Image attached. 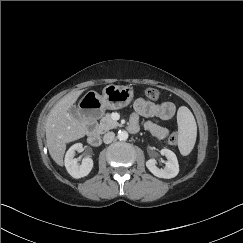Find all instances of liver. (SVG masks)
<instances>
[{
    "label": "liver",
    "instance_id": "6515ba94",
    "mask_svg": "<svg viewBox=\"0 0 243 243\" xmlns=\"http://www.w3.org/2000/svg\"><path fill=\"white\" fill-rule=\"evenodd\" d=\"M84 90L71 91L61 98L50 110L46 125V144L52 159L63 165L66 144L85 136V125L69 113Z\"/></svg>",
    "mask_w": 243,
    "mask_h": 243
}]
</instances>
